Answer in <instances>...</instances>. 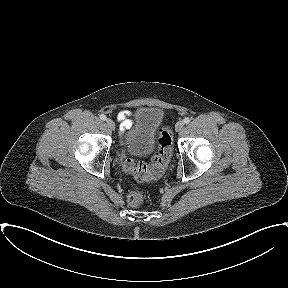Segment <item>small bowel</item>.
Instances as JSON below:
<instances>
[{"label":"small bowel","instance_id":"c3829d8e","mask_svg":"<svg viewBox=\"0 0 288 288\" xmlns=\"http://www.w3.org/2000/svg\"><path fill=\"white\" fill-rule=\"evenodd\" d=\"M132 112L130 110L121 111L117 115L118 121L121 122L122 129H130L132 127V120H131Z\"/></svg>","mask_w":288,"mask_h":288}]
</instances>
